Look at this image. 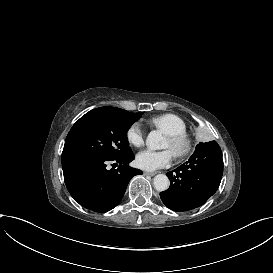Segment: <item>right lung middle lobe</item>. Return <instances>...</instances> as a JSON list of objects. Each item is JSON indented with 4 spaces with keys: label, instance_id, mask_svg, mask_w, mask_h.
<instances>
[{
    "label": "right lung middle lobe",
    "instance_id": "obj_1",
    "mask_svg": "<svg viewBox=\"0 0 273 273\" xmlns=\"http://www.w3.org/2000/svg\"><path fill=\"white\" fill-rule=\"evenodd\" d=\"M138 117L112 107H100L83 115L68 133L62 165L78 158H115L131 152L127 129Z\"/></svg>",
    "mask_w": 273,
    "mask_h": 273
}]
</instances>
